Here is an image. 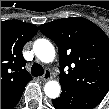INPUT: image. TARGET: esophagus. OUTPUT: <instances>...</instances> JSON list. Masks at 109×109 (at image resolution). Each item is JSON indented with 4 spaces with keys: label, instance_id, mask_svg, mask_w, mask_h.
Listing matches in <instances>:
<instances>
[{
    "label": "esophagus",
    "instance_id": "obj_1",
    "mask_svg": "<svg viewBox=\"0 0 109 109\" xmlns=\"http://www.w3.org/2000/svg\"><path fill=\"white\" fill-rule=\"evenodd\" d=\"M51 78V72L49 70H46L44 75L41 77L42 81H47Z\"/></svg>",
    "mask_w": 109,
    "mask_h": 109
}]
</instances>
